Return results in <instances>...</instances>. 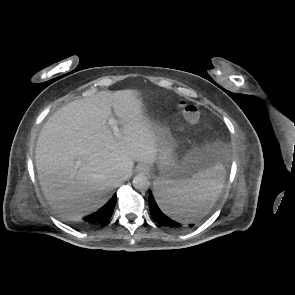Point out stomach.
<instances>
[{
  "instance_id": "obj_1",
  "label": "stomach",
  "mask_w": 295,
  "mask_h": 295,
  "mask_svg": "<svg viewBox=\"0 0 295 295\" xmlns=\"http://www.w3.org/2000/svg\"><path fill=\"white\" fill-rule=\"evenodd\" d=\"M152 126L158 140L155 163L162 178L167 180L184 178L213 166L212 161H207L196 166L191 172H187L186 169L201 157V152L192 150L181 157L179 144L169 127L159 122H152Z\"/></svg>"
}]
</instances>
